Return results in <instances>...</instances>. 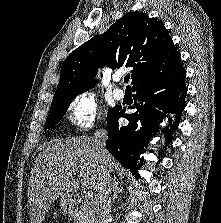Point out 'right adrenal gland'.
I'll list each match as a JSON object with an SVG mask.
<instances>
[{
	"mask_svg": "<svg viewBox=\"0 0 221 223\" xmlns=\"http://www.w3.org/2000/svg\"><path fill=\"white\" fill-rule=\"evenodd\" d=\"M112 191H113V201L117 197L118 193H121L123 191V188H119V184L117 181H114L112 184Z\"/></svg>",
	"mask_w": 221,
	"mask_h": 223,
	"instance_id": "right-adrenal-gland-1",
	"label": "right adrenal gland"
}]
</instances>
